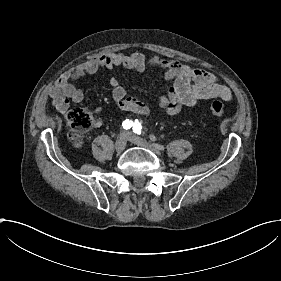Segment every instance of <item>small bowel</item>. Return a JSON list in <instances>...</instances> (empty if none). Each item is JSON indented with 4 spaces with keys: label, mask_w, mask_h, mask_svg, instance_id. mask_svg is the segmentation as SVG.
Segmentation results:
<instances>
[{
    "label": "small bowel",
    "mask_w": 281,
    "mask_h": 281,
    "mask_svg": "<svg viewBox=\"0 0 281 281\" xmlns=\"http://www.w3.org/2000/svg\"><path fill=\"white\" fill-rule=\"evenodd\" d=\"M117 67L136 72H144L148 68L161 69L164 78L171 82L160 99L161 106L169 116L176 115L183 105L194 106L201 100L214 97L225 101L233 100V93L226 84L199 67L186 65L171 58L147 57L141 52H111L95 56L79 64L51 87L50 97L57 111L66 115L70 108V101L75 104L84 101V93L75 85V81L92 75L101 68L111 70ZM109 84L112 88V98L121 110L147 115L146 106L137 99L127 96L117 78L112 77ZM100 112V107L94 110L96 115ZM93 126L100 128L102 121L95 119Z\"/></svg>",
    "instance_id": "c3829d8e"
}]
</instances>
